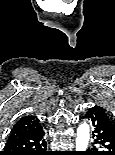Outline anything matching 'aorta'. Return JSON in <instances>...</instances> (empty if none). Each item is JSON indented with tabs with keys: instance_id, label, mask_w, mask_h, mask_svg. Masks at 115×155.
Instances as JSON below:
<instances>
[{
	"instance_id": "aorta-1",
	"label": "aorta",
	"mask_w": 115,
	"mask_h": 155,
	"mask_svg": "<svg viewBox=\"0 0 115 155\" xmlns=\"http://www.w3.org/2000/svg\"><path fill=\"white\" fill-rule=\"evenodd\" d=\"M90 139V128L87 123L79 125L76 136V151H86Z\"/></svg>"
}]
</instances>
